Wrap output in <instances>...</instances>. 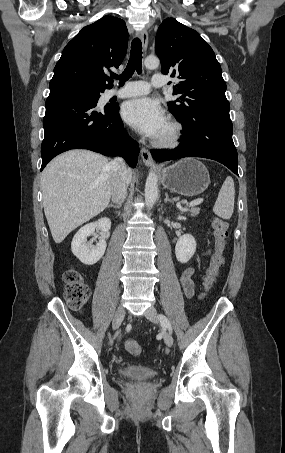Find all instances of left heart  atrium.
<instances>
[{
    "mask_svg": "<svg viewBox=\"0 0 285 453\" xmlns=\"http://www.w3.org/2000/svg\"><path fill=\"white\" fill-rule=\"evenodd\" d=\"M122 117L139 132L151 138H158L167 122L160 105L150 98L127 101L122 107Z\"/></svg>",
    "mask_w": 285,
    "mask_h": 453,
    "instance_id": "left-heart-atrium-1",
    "label": "left heart atrium"
}]
</instances>
